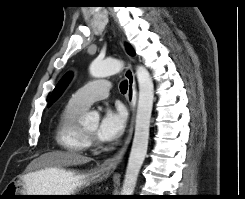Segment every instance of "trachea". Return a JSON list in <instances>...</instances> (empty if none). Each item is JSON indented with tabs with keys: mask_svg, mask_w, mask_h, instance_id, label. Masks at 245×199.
<instances>
[{
	"mask_svg": "<svg viewBox=\"0 0 245 199\" xmlns=\"http://www.w3.org/2000/svg\"><path fill=\"white\" fill-rule=\"evenodd\" d=\"M128 89V82L127 81H123L121 84H120V91L122 94H125L126 91Z\"/></svg>",
	"mask_w": 245,
	"mask_h": 199,
	"instance_id": "1",
	"label": "trachea"
}]
</instances>
